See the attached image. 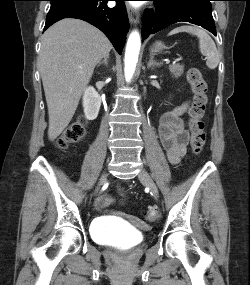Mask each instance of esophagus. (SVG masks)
<instances>
[{
    "mask_svg": "<svg viewBox=\"0 0 250 285\" xmlns=\"http://www.w3.org/2000/svg\"><path fill=\"white\" fill-rule=\"evenodd\" d=\"M127 12H128L129 21L132 24H138L140 19L139 12L131 6L127 7Z\"/></svg>",
    "mask_w": 250,
    "mask_h": 285,
    "instance_id": "34e87169",
    "label": "esophagus"
}]
</instances>
